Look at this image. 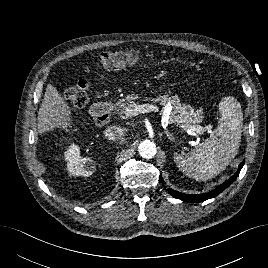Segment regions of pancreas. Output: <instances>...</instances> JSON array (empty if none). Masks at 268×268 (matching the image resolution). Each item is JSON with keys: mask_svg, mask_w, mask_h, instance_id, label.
<instances>
[{"mask_svg": "<svg viewBox=\"0 0 268 268\" xmlns=\"http://www.w3.org/2000/svg\"><path fill=\"white\" fill-rule=\"evenodd\" d=\"M138 96L135 94L128 95L124 99H120L115 103L116 113L125 115L126 109L134 104ZM153 102H160L161 106L171 108L170 120L174 124H193L197 126L203 118L202 110H194L189 104H182L177 95L171 96L169 94L159 95Z\"/></svg>", "mask_w": 268, "mask_h": 268, "instance_id": "pancreas-1", "label": "pancreas"}]
</instances>
